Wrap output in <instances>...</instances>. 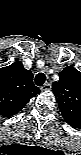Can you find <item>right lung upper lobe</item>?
<instances>
[{"mask_svg": "<svg viewBox=\"0 0 81 155\" xmlns=\"http://www.w3.org/2000/svg\"><path fill=\"white\" fill-rule=\"evenodd\" d=\"M40 93L33 84V75L20 61L0 69V114L11 117L17 114L30 98Z\"/></svg>", "mask_w": 81, "mask_h": 155, "instance_id": "obj_1", "label": "right lung upper lobe"}]
</instances>
